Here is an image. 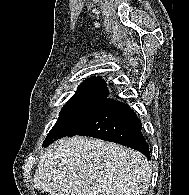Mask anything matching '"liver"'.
Returning <instances> with one entry per match:
<instances>
[{"mask_svg":"<svg viewBox=\"0 0 189 195\" xmlns=\"http://www.w3.org/2000/svg\"><path fill=\"white\" fill-rule=\"evenodd\" d=\"M151 174V165L138 151L74 136L41 156L33 183L50 195H143Z\"/></svg>","mask_w":189,"mask_h":195,"instance_id":"1","label":"liver"}]
</instances>
